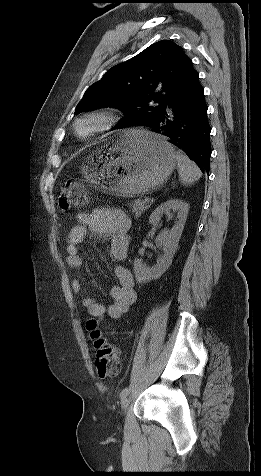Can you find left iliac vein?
<instances>
[{
	"mask_svg": "<svg viewBox=\"0 0 261 476\" xmlns=\"http://www.w3.org/2000/svg\"><path fill=\"white\" fill-rule=\"evenodd\" d=\"M129 403H130V398L127 395L123 396L122 399H121V408L124 412H126L128 406H129Z\"/></svg>",
	"mask_w": 261,
	"mask_h": 476,
	"instance_id": "4c4485c4",
	"label": "left iliac vein"
}]
</instances>
